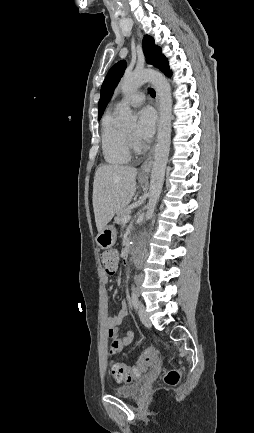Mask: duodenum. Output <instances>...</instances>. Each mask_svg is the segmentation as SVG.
Wrapping results in <instances>:
<instances>
[{"instance_id":"obj_1","label":"duodenum","mask_w":254,"mask_h":433,"mask_svg":"<svg viewBox=\"0 0 254 433\" xmlns=\"http://www.w3.org/2000/svg\"><path fill=\"white\" fill-rule=\"evenodd\" d=\"M130 251H131V245H130L129 242H127V243H126V256H127V258H128L129 255H130Z\"/></svg>"}]
</instances>
